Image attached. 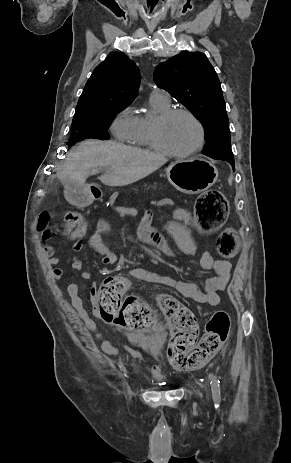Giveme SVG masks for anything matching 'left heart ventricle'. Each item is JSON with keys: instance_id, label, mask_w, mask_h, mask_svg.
<instances>
[{"instance_id": "b2bd125f", "label": "left heart ventricle", "mask_w": 291, "mask_h": 463, "mask_svg": "<svg viewBox=\"0 0 291 463\" xmlns=\"http://www.w3.org/2000/svg\"><path fill=\"white\" fill-rule=\"evenodd\" d=\"M161 139L170 149L183 152L197 144L199 130L189 117L178 115L162 126Z\"/></svg>"}]
</instances>
